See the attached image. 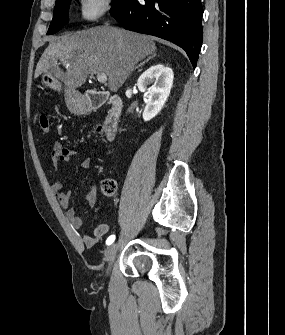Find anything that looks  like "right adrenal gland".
Masks as SVG:
<instances>
[{
    "label": "right adrenal gland",
    "mask_w": 285,
    "mask_h": 335,
    "mask_svg": "<svg viewBox=\"0 0 285 335\" xmlns=\"http://www.w3.org/2000/svg\"><path fill=\"white\" fill-rule=\"evenodd\" d=\"M152 58H155V56H150V58H147V60H144V62H141V64H139V66H136V68H142V66H145V64H147L149 60H152ZM136 68H134V70H136Z\"/></svg>",
    "instance_id": "obj_1"
}]
</instances>
